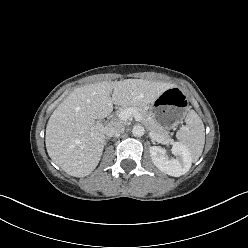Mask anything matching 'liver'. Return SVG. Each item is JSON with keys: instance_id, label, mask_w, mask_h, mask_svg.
<instances>
[{"instance_id": "liver-1", "label": "liver", "mask_w": 248, "mask_h": 248, "mask_svg": "<svg viewBox=\"0 0 248 248\" xmlns=\"http://www.w3.org/2000/svg\"><path fill=\"white\" fill-rule=\"evenodd\" d=\"M173 84L142 79L103 81L74 89L54 110L46 127L49 157L67 174L89 175L98 165L105 145L104 125L113 104L141 107L152 103ZM112 93V97L110 94Z\"/></svg>"}]
</instances>
